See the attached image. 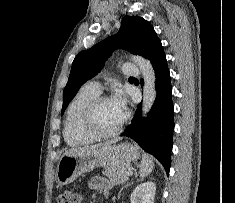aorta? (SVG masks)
<instances>
[{"instance_id": "aorta-1", "label": "aorta", "mask_w": 235, "mask_h": 203, "mask_svg": "<svg viewBox=\"0 0 235 203\" xmlns=\"http://www.w3.org/2000/svg\"><path fill=\"white\" fill-rule=\"evenodd\" d=\"M132 59L134 63L139 67L144 79L142 115L146 117L155 102L157 94L155 88V71L149 60L141 56H133Z\"/></svg>"}]
</instances>
